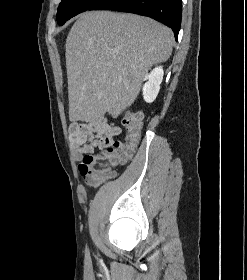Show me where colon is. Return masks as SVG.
<instances>
[{
    "label": "colon",
    "mask_w": 247,
    "mask_h": 280,
    "mask_svg": "<svg viewBox=\"0 0 247 280\" xmlns=\"http://www.w3.org/2000/svg\"><path fill=\"white\" fill-rule=\"evenodd\" d=\"M126 136L123 141H114L100 153L84 158L82 170L95 178L107 179L113 176L112 166L129 159L139 142L142 129V116L127 113L123 118Z\"/></svg>",
    "instance_id": "obj_1"
}]
</instances>
